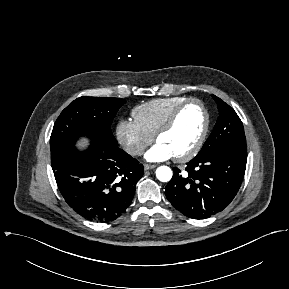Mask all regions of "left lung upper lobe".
Wrapping results in <instances>:
<instances>
[{
    "instance_id": "1",
    "label": "left lung upper lobe",
    "mask_w": 289,
    "mask_h": 289,
    "mask_svg": "<svg viewBox=\"0 0 289 289\" xmlns=\"http://www.w3.org/2000/svg\"><path fill=\"white\" fill-rule=\"evenodd\" d=\"M213 99L217 103L219 117L212 133L196 157H203L223 146H246L243 124L236 112L217 96L213 95Z\"/></svg>"
}]
</instances>
